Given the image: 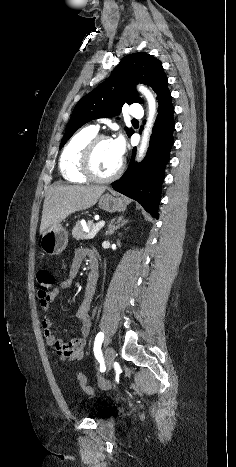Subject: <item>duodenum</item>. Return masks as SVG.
<instances>
[{
    "mask_svg": "<svg viewBox=\"0 0 236 467\" xmlns=\"http://www.w3.org/2000/svg\"><path fill=\"white\" fill-rule=\"evenodd\" d=\"M97 276H98V266L96 263L91 262L89 273H88V278L94 281V280H97Z\"/></svg>",
    "mask_w": 236,
    "mask_h": 467,
    "instance_id": "1",
    "label": "duodenum"
}]
</instances>
